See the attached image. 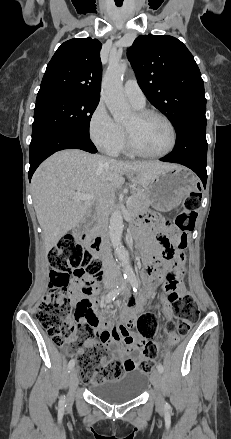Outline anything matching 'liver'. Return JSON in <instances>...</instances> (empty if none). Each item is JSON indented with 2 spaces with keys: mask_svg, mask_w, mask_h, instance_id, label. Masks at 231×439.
Masks as SVG:
<instances>
[{
  "mask_svg": "<svg viewBox=\"0 0 231 439\" xmlns=\"http://www.w3.org/2000/svg\"><path fill=\"white\" fill-rule=\"evenodd\" d=\"M178 165L158 161H119L66 149L46 159L32 177L31 188L38 222L43 230L46 254L74 228L91 208L102 201L104 209L128 177L134 184L148 185L164 171ZM136 175V176H134ZM77 193L93 200H76Z\"/></svg>",
  "mask_w": 231,
  "mask_h": 439,
  "instance_id": "obj_1",
  "label": "liver"
}]
</instances>
